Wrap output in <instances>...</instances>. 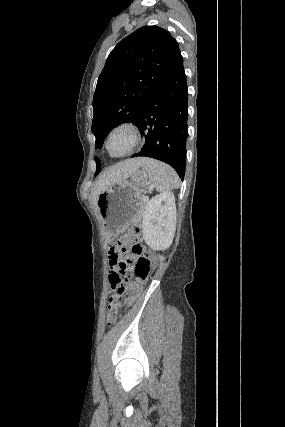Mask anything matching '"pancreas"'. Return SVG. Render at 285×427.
<instances>
[{"label": "pancreas", "mask_w": 285, "mask_h": 427, "mask_svg": "<svg viewBox=\"0 0 285 427\" xmlns=\"http://www.w3.org/2000/svg\"><path fill=\"white\" fill-rule=\"evenodd\" d=\"M147 203H148V200H141L140 201V203H139V214H138V217L136 218L135 222L141 219Z\"/></svg>", "instance_id": "cf45deb5"}]
</instances>
